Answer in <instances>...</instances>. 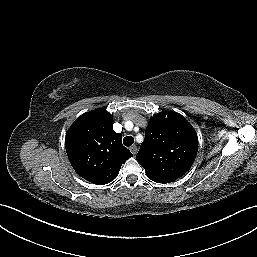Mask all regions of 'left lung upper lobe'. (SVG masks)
Here are the masks:
<instances>
[{"label":"left lung upper lobe","mask_w":257,"mask_h":257,"mask_svg":"<svg viewBox=\"0 0 257 257\" xmlns=\"http://www.w3.org/2000/svg\"><path fill=\"white\" fill-rule=\"evenodd\" d=\"M198 151V137L187 120L176 112L153 117L145 131L136 159L147 176L157 183H170L192 166Z\"/></svg>","instance_id":"1"}]
</instances>
